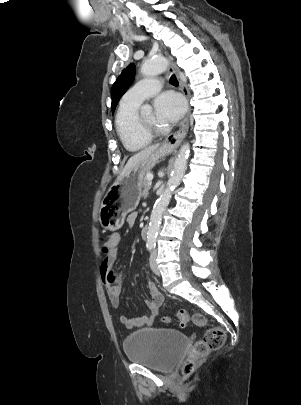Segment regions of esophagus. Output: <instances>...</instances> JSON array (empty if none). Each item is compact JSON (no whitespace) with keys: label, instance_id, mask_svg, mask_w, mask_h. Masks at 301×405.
I'll return each instance as SVG.
<instances>
[{"label":"esophagus","instance_id":"1","mask_svg":"<svg viewBox=\"0 0 301 405\" xmlns=\"http://www.w3.org/2000/svg\"><path fill=\"white\" fill-rule=\"evenodd\" d=\"M168 60H169L168 71L170 73H174L178 77L181 90H182L185 98L188 101L189 92L179 77V70H178L176 64L174 63L173 59L170 56H168ZM188 128H189V111L187 112L185 118L181 122L179 130L176 131L175 133H172L169 136H167L165 138L162 146L165 148H169V149H173V148L177 147L182 142L183 138L186 136Z\"/></svg>","mask_w":301,"mask_h":405}]
</instances>
